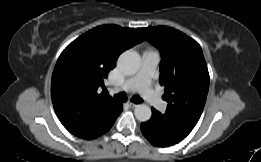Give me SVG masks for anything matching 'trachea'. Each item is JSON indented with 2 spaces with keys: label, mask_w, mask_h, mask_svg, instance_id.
Here are the masks:
<instances>
[{
  "label": "trachea",
  "mask_w": 261,
  "mask_h": 162,
  "mask_svg": "<svg viewBox=\"0 0 261 162\" xmlns=\"http://www.w3.org/2000/svg\"><path fill=\"white\" fill-rule=\"evenodd\" d=\"M114 99L119 102H124L127 100V95L124 92H121L119 94H116L114 96ZM131 101L134 103H141V102H143V99L140 98L139 96H133Z\"/></svg>",
  "instance_id": "3493384b"
}]
</instances>
